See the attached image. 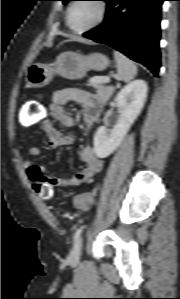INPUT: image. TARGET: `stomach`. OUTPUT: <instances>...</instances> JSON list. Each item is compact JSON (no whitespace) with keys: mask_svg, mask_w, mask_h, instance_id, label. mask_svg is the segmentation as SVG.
<instances>
[{"mask_svg":"<svg viewBox=\"0 0 180 299\" xmlns=\"http://www.w3.org/2000/svg\"><path fill=\"white\" fill-rule=\"evenodd\" d=\"M109 64V59L102 53L83 55L66 51L59 54L53 64H31L25 72L26 87H45L54 75L71 80L80 79L86 75L87 71H103Z\"/></svg>","mask_w":180,"mask_h":299,"instance_id":"0dacf381","label":"stomach"}]
</instances>
